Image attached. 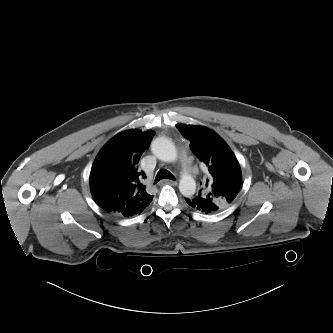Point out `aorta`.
<instances>
[{"mask_svg": "<svg viewBox=\"0 0 333 333\" xmlns=\"http://www.w3.org/2000/svg\"><path fill=\"white\" fill-rule=\"evenodd\" d=\"M151 149L153 154L161 161L173 162L177 159V150L171 140L165 137L156 138ZM179 190L185 197L194 195L196 191V182L189 174H183L179 182Z\"/></svg>", "mask_w": 333, "mask_h": 333, "instance_id": "obj_1", "label": "aorta"}]
</instances>
